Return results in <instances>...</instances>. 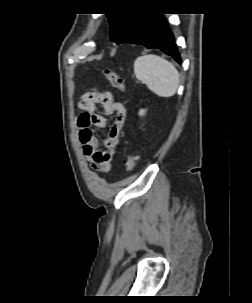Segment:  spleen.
I'll use <instances>...</instances> for the list:
<instances>
[{
  "instance_id": "obj_1",
  "label": "spleen",
  "mask_w": 252,
  "mask_h": 303,
  "mask_svg": "<svg viewBox=\"0 0 252 303\" xmlns=\"http://www.w3.org/2000/svg\"><path fill=\"white\" fill-rule=\"evenodd\" d=\"M134 73L138 80L160 97H172L179 85V73L166 59L148 54L134 62Z\"/></svg>"
}]
</instances>
